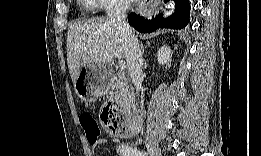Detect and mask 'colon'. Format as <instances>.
Wrapping results in <instances>:
<instances>
[{
	"instance_id": "1",
	"label": "colon",
	"mask_w": 261,
	"mask_h": 156,
	"mask_svg": "<svg viewBox=\"0 0 261 156\" xmlns=\"http://www.w3.org/2000/svg\"><path fill=\"white\" fill-rule=\"evenodd\" d=\"M80 124L90 144H96L101 135V126L89 113L80 116ZM102 128L114 136H126L128 130L124 125L123 117L118 106L106 104L101 111Z\"/></svg>"
}]
</instances>
